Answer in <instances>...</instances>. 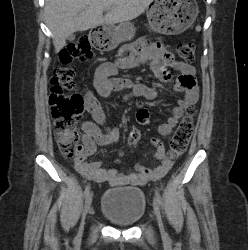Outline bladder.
I'll return each mask as SVG.
<instances>
[{
	"label": "bladder",
	"mask_w": 248,
	"mask_h": 250,
	"mask_svg": "<svg viewBox=\"0 0 248 250\" xmlns=\"http://www.w3.org/2000/svg\"><path fill=\"white\" fill-rule=\"evenodd\" d=\"M146 207L143 190L132 186L108 189L100 201V212L119 226L137 223L144 216Z\"/></svg>",
	"instance_id": "obj_1"
}]
</instances>
